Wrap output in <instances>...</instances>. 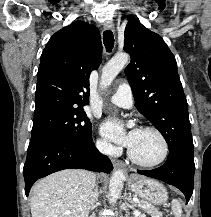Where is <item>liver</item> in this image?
<instances>
[{"label":"liver","mask_w":211,"mask_h":217,"mask_svg":"<svg viewBox=\"0 0 211 217\" xmlns=\"http://www.w3.org/2000/svg\"><path fill=\"white\" fill-rule=\"evenodd\" d=\"M96 175L66 169L39 181L31 190L32 217H88Z\"/></svg>","instance_id":"liver-1"}]
</instances>
